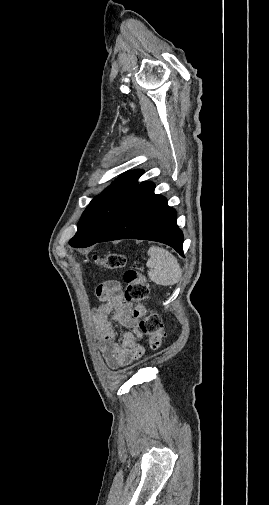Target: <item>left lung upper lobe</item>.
I'll use <instances>...</instances> for the list:
<instances>
[{
    "instance_id": "1",
    "label": "left lung upper lobe",
    "mask_w": 269,
    "mask_h": 505,
    "mask_svg": "<svg viewBox=\"0 0 269 505\" xmlns=\"http://www.w3.org/2000/svg\"><path fill=\"white\" fill-rule=\"evenodd\" d=\"M142 173L143 171L137 170L120 176L90 202L77 225V233L69 241L72 247L93 245L110 229L134 194Z\"/></svg>"
}]
</instances>
